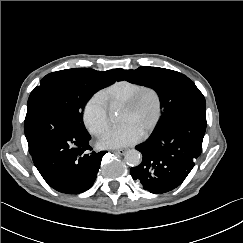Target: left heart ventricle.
Here are the masks:
<instances>
[{
  "mask_svg": "<svg viewBox=\"0 0 243 243\" xmlns=\"http://www.w3.org/2000/svg\"><path fill=\"white\" fill-rule=\"evenodd\" d=\"M157 111V103L153 94L146 93L138 108L135 110L123 109L121 122L131 123L143 133L152 124Z\"/></svg>",
  "mask_w": 243,
  "mask_h": 243,
  "instance_id": "left-heart-ventricle-1",
  "label": "left heart ventricle"
}]
</instances>
